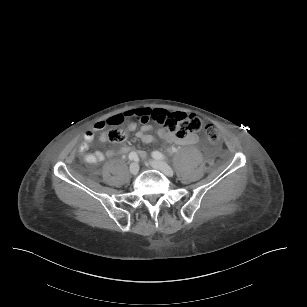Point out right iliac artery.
<instances>
[{"label":"right iliac artery","mask_w":307,"mask_h":307,"mask_svg":"<svg viewBox=\"0 0 307 307\" xmlns=\"http://www.w3.org/2000/svg\"><path fill=\"white\" fill-rule=\"evenodd\" d=\"M128 157H129V160L131 161L133 160L136 161L138 159L136 152H131Z\"/></svg>","instance_id":"right-iliac-artery-1"}]
</instances>
